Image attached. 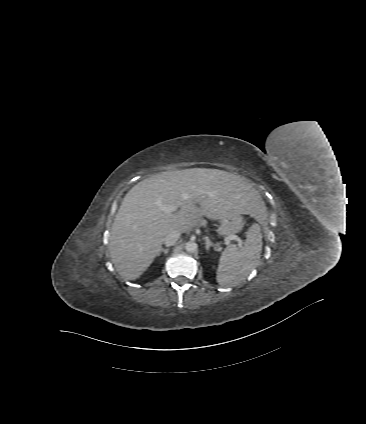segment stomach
Masks as SVG:
<instances>
[{
  "mask_svg": "<svg viewBox=\"0 0 366 424\" xmlns=\"http://www.w3.org/2000/svg\"><path fill=\"white\" fill-rule=\"evenodd\" d=\"M244 225L242 214H235L233 216H227L221 219L218 228V234L220 236H229L231 234L239 232Z\"/></svg>",
  "mask_w": 366,
  "mask_h": 424,
  "instance_id": "stomach-1",
  "label": "stomach"
}]
</instances>
